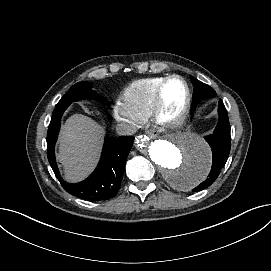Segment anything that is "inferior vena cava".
<instances>
[{"label":"inferior vena cava","instance_id":"obj_1","mask_svg":"<svg viewBox=\"0 0 271 271\" xmlns=\"http://www.w3.org/2000/svg\"><path fill=\"white\" fill-rule=\"evenodd\" d=\"M116 131L119 135H131L132 134V127L128 124H120L117 128Z\"/></svg>","mask_w":271,"mask_h":271}]
</instances>
